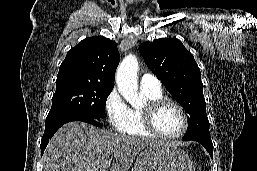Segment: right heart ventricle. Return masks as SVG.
Returning <instances> with one entry per match:
<instances>
[{"mask_svg":"<svg viewBox=\"0 0 257 171\" xmlns=\"http://www.w3.org/2000/svg\"><path fill=\"white\" fill-rule=\"evenodd\" d=\"M141 94L146 102L163 97L161 89L150 90L141 88ZM121 132L131 136H152L143 126L142 109L138 107L129 108L128 120L126 126Z\"/></svg>","mask_w":257,"mask_h":171,"instance_id":"obj_1","label":"right heart ventricle"}]
</instances>
